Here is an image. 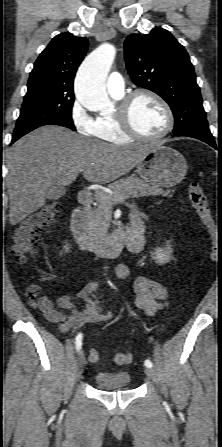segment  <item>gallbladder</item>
<instances>
[{
    "label": "gallbladder",
    "mask_w": 222,
    "mask_h": 447,
    "mask_svg": "<svg viewBox=\"0 0 222 447\" xmlns=\"http://www.w3.org/2000/svg\"><path fill=\"white\" fill-rule=\"evenodd\" d=\"M66 194V189L63 187H60L58 185H52L49 188L48 194H47V199L49 200H57L59 198H61L62 196H64Z\"/></svg>",
    "instance_id": "bac80fb5"
}]
</instances>
